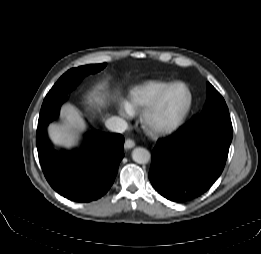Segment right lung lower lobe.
Returning <instances> with one entry per match:
<instances>
[{
  "mask_svg": "<svg viewBox=\"0 0 261 254\" xmlns=\"http://www.w3.org/2000/svg\"><path fill=\"white\" fill-rule=\"evenodd\" d=\"M66 95L44 100L38 121L36 144L43 173L50 186L65 198L89 202L112 186L124 157L121 134L89 132L87 144L78 153L54 150L47 141L46 126L55 120Z\"/></svg>",
  "mask_w": 261,
  "mask_h": 254,
  "instance_id": "obj_1",
  "label": "right lung lower lobe"
}]
</instances>
